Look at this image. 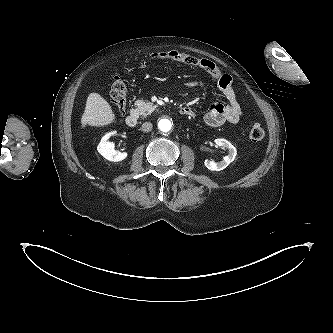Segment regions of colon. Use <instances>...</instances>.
<instances>
[{"mask_svg":"<svg viewBox=\"0 0 333 333\" xmlns=\"http://www.w3.org/2000/svg\"><path fill=\"white\" fill-rule=\"evenodd\" d=\"M150 59L182 63L198 67L214 78L220 79L223 77L220 69L212 61L205 58H197L178 51L156 53L150 56ZM110 96L114 109L118 114L122 115L125 111L127 103V87L124 80L119 76H115L113 78ZM248 134L252 141L258 142L264 138L265 131L258 123H250L248 127Z\"/></svg>","mask_w":333,"mask_h":333,"instance_id":"1","label":"colon"}]
</instances>
